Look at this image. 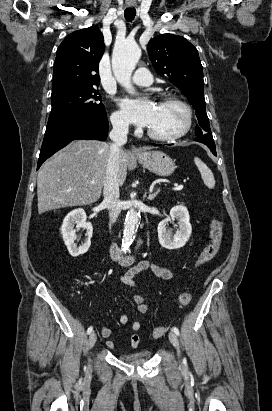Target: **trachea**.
Masks as SVG:
<instances>
[{
  "instance_id": "trachea-1",
  "label": "trachea",
  "mask_w": 272,
  "mask_h": 411,
  "mask_svg": "<svg viewBox=\"0 0 272 411\" xmlns=\"http://www.w3.org/2000/svg\"><path fill=\"white\" fill-rule=\"evenodd\" d=\"M135 15H136V9L135 8H127L124 12L125 19L128 22H131L135 18Z\"/></svg>"
}]
</instances>
